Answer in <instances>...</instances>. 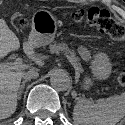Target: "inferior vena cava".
Here are the masks:
<instances>
[{"instance_id":"1","label":"inferior vena cava","mask_w":125,"mask_h":125,"mask_svg":"<svg viewBox=\"0 0 125 125\" xmlns=\"http://www.w3.org/2000/svg\"><path fill=\"white\" fill-rule=\"evenodd\" d=\"M39 76V73L36 70H30L28 72H25L23 75V78L26 80L34 79Z\"/></svg>"}]
</instances>
